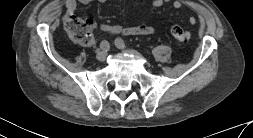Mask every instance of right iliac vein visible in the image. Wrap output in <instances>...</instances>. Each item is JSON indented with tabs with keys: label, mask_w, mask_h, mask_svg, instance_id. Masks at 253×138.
<instances>
[{
	"label": "right iliac vein",
	"mask_w": 253,
	"mask_h": 138,
	"mask_svg": "<svg viewBox=\"0 0 253 138\" xmlns=\"http://www.w3.org/2000/svg\"><path fill=\"white\" fill-rule=\"evenodd\" d=\"M106 57H107V52L106 51H100L96 55V59L99 62H104L106 60Z\"/></svg>",
	"instance_id": "1"
}]
</instances>
